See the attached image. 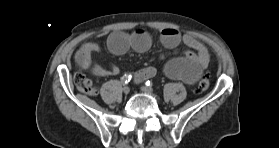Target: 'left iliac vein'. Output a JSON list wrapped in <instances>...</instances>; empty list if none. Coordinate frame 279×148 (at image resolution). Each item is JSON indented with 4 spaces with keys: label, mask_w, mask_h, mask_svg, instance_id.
Segmentation results:
<instances>
[{
    "label": "left iliac vein",
    "mask_w": 279,
    "mask_h": 148,
    "mask_svg": "<svg viewBox=\"0 0 279 148\" xmlns=\"http://www.w3.org/2000/svg\"><path fill=\"white\" fill-rule=\"evenodd\" d=\"M141 91L144 92V93H148V94L153 93V89L150 88V87H147V86L141 87Z\"/></svg>",
    "instance_id": "1"
}]
</instances>
